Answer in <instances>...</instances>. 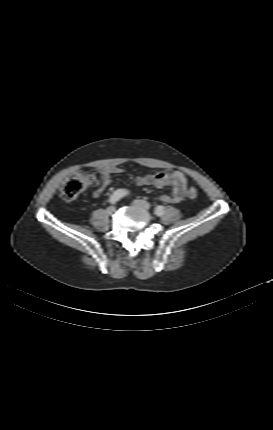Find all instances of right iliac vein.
<instances>
[{
  "label": "right iliac vein",
  "instance_id": "63e3f726",
  "mask_svg": "<svg viewBox=\"0 0 273 430\" xmlns=\"http://www.w3.org/2000/svg\"><path fill=\"white\" fill-rule=\"evenodd\" d=\"M107 213L109 214V215H111V214H113L114 212H115V207H109V208H107Z\"/></svg>",
  "mask_w": 273,
  "mask_h": 430
}]
</instances>
